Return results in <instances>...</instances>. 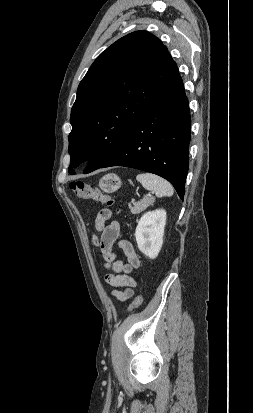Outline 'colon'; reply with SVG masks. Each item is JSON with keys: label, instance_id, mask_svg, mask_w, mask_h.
<instances>
[{"label": "colon", "instance_id": "1", "mask_svg": "<svg viewBox=\"0 0 253 413\" xmlns=\"http://www.w3.org/2000/svg\"><path fill=\"white\" fill-rule=\"evenodd\" d=\"M70 188L75 195L81 199H92L109 207H115L117 212L120 211V209L115 206L113 198L95 186H91L82 181H73L70 183ZM142 300V296L137 295L130 304L128 311L132 312L136 310L142 304Z\"/></svg>", "mask_w": 253, "mask_h": 413}]
</instances>
